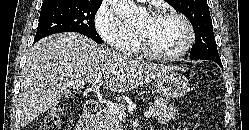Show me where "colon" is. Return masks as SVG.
Here are the masks:
<instances>
[{"instance_id":"obj_1","label":"colon","mask_w":249,"mask_h":130,"mask_svg":"<svg viewBox=\"0 0 249 130\" xmlns=\"http://www.w3.org/2000/svg\"><path fill=\"white\" fill-rule=\"evenodd\" d=\"M62 105H55L44 117L39 130H61Z\"/></svg>"}]
</instances>
